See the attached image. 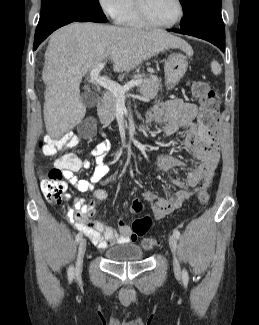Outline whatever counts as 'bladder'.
Returning a JSON list of instances; mask_svg holds the SVG:
<instances>
[{
  "instance_id": "bladder-1",
  "label": "bladder",
  "mask_w": 259,
  "mask_h": 325,
  "mask_svg": "<svg viewBox=\"0 0 259 325\" xmlns=\"http://www.w3.org/2000/svg\"><path fill=\"white\" fill-rule=\"evenodd\" d=\"M104 255L112 262H129L141 260L144 257V252L137 244L125 243L108 247Z\"/></svg>"
}]
</instances>
